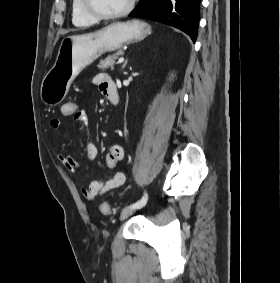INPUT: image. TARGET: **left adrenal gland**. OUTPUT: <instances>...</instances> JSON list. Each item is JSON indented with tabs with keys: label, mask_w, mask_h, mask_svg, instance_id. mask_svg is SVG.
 <instances>
[{
	"label": "left adrenal gland",
	"mask_w": 280,
	"mask_h": 283,
	"mask_svg": "<svg viewBox=\"0 0 280 283\" xmlns=\"http://www.w3.org/2000/svg\"><path fill=\"white\" fill-rule=\"evenodd\" d=\"M127 62H128V60L125 61V63H124L123 66H122V69H124V68L126 67Z\"/></svg>",
	"instance_id": "a2214340"
}]
</instances>
